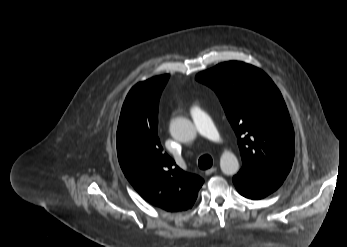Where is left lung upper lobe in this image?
Segmentation results:
<instances>
[{
	"mask_svg": "<svg viewBox=\"0 0 347 247\" xmlns=\"http://www.w3.org/2000/svg\"><path fill=\"white\" fill-rule=\"evenodd\" d=\"M218 95L242 157L239 173L285 180L294 159V130L283 97L259 68L230 61L196 76Z\"/></svg>",
	"mask_w": 347,
	"mask_h": 247,
	"instance_id": "obj_1",
	"label": "left lung upper lobe"
}]
</instances>
